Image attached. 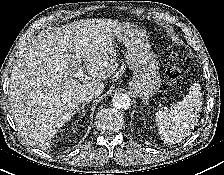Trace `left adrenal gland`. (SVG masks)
Wrapping results in <instances>:
<instances>
[{
  "mask_svg": "<svg viewBox=\"0 0 224 175\" xmlns=\"http://www.w3.org/2000/svg\"><path fill=\"white\" fill-rule=\"evenodd\" d=\"M144 104L148 105V103H147V102H144Z\"/></svg>",
  "mask_w": 224,
  "mask_h": 175,
  "instance_id": "a2214340",
  "label": "left adrenal gland"
}]
</instances>
